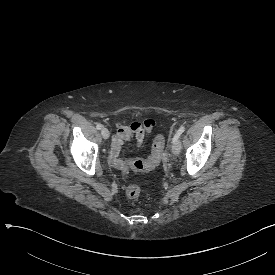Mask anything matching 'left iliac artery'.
<instances>
[{"label":"left iliac artery","instance_id":"left-iliac-artery-1","mask_svg":"<svg viewBox=\"0 0 275 275\" xmlns=\"http://www.w3.org/2000/svg\"><path fill=\"white\" fill-rule=\"evenodd\" d=\"M184 131H185V127H184V126H181V127L178 129V131H177V133L175 134V136L173 137L172 142H174L175 140H178L179 137H180V135H181Z\"/></svg>","mask_w":275,"mask_h":275}]
</instances>
